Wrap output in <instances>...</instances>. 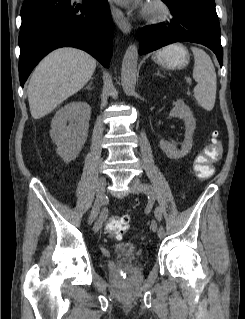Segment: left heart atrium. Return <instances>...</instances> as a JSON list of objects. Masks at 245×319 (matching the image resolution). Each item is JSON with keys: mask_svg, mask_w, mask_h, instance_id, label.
Here are the masks:
<instances>
[{"mask_svg": "<svg viewBox=\"0 0 245 319\" xmlns=\"http://www.w3.org/2000/svg\"><path fill=\"white\" fill-rule=\"evenodd\" d=\"M122 4H130L133 0H116Z\"/></svg>", "mask_w": 245, "mask_h": 319, "instance_id": "39dd6f15", "label": "left heart atrium"}]
</instances>
